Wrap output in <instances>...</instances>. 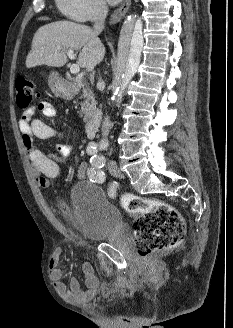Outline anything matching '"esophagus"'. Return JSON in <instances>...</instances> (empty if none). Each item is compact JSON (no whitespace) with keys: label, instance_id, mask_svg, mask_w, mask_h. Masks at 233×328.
Masks as SVG:
<instances>
[{"label":"esophagus","instance_id":"obj_1","mask_svg":"<svg viewBox=\"0 0 233 328\" xmlns=\"http://www.w3.org/2000/svg\"><path fill=\"white\" fill-rule=\"evenodd\" d=\"M131 5V0H124L123 3L113 12L110 18V25H116L124 15L127 13L129 7Z\"/></svg>","mask_w":233,"mask_h":328}]
</instances>
